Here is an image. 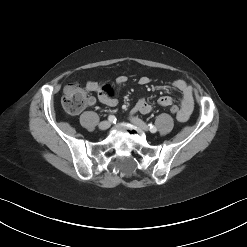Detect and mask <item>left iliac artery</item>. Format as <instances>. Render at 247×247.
Listing matches in <instances>:
<instances>
[{"mask_svg":"<svg viewBox=\"0 0 247 247\" xmlns=\"http://www.w3.org/2000/svg\"><path fill=\"white\" fill-rule=\"evenodd\" d=\"M149 126V130L152 132V133H155L157 131L156 127L152 124H148Z\"/></svg>","mask_w":247,"mask_h":247,"instance_id":"left-iliac-artery-1","label":"left iliac artery"}]
</instances>
